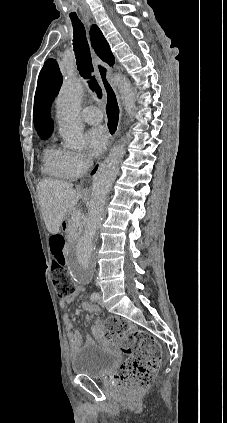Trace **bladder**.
Returning a JSON list of instances; mask_svg holds the SVG:
<instances>
[{"instance_id":"1","label":"bladder","mask_w":227,"mask_h":423,"mask_svg":"<svg viewBox=\"0 0 227 423\" xmlns=\"http://www.w3.org/2000/svg\"><path fill=\"white\" fill-rule=\"evenodd\" d=\"M119 364L120 358L115 352L105 350L97 343H88L73 356L72 371L79 376L103 380L109 378Z\"/></svg>"}]
</instances>
